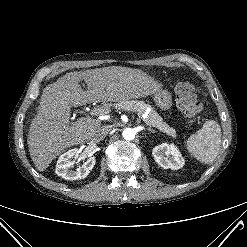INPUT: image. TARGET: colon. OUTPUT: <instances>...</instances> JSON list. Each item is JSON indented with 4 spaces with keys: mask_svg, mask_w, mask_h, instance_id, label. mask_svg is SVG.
Here are the masks:
<instances>
[{
    "mask_svg": "<svg viewBox=\"0 0 247 247\" xmlns=\"http://www.w3.org/2000/svg\"><path fill=\"white\" fill-rule=\"evenodd\" d=\"M176 105L187 118H194L202 111L196 87L189 82H181L175 88Z\"/></svg>",
    "mask_w": 247,
    "mask_h": 247,
    "instance_id": "1",
    "label": "colon"
}]
</instances>
